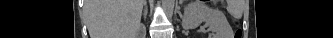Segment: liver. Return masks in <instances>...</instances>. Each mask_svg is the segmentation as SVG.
<instances>
[{"mask_svg": "<svg viewBox=\"0 0 333 38\" xmlns=\"http://www.w3.org/2000/svg\"><path fill=\"white\" fill-rule=\"evenodd\" d=\"M144 0H86L90 38H136Z\"/></svg>", "mask_w": 333, "mask_h": 38, "instance_id": "liver-1", "label": "liver"}]
</instances>
